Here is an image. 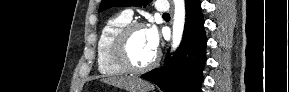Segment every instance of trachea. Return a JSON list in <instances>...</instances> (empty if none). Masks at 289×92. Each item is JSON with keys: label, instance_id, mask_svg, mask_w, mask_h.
<instances>
[{"label": "trachea", "instance_id": "obj_1", "mask_svg": "<svg viewBox=\"0 0 289 92\" xmlns=\"http://www.w3.org/2000/svg\"><path fill=\"white\" fill-rule=\"evenodd\" d=\"M163 16H169V13H164Z\"/></svg>", "mask_w": 289, "mask_h": 92}]
</instances>
